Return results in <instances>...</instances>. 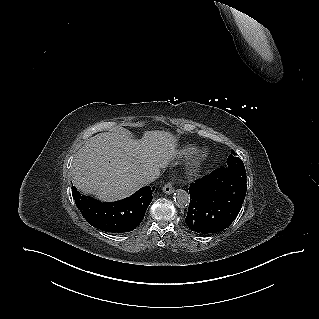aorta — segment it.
<instances>
[{
	"mask_svg": "<svg viewBox=\"0 0 319 319\" xmlns=\"http://www.w3.org/2000/svg\"><path fill=\"white\" fill-rule=\"evenodd\" d=\"M174 201L179 208H185L190 203L189 194L183 189H178L174 193Z\"/></svg>",
	"mask_w": 319,
	"mask_h": 319,
	"instance_id": "aorta-1",
	"label": "aorta"
}]
</instances>
